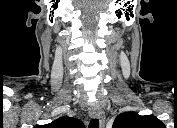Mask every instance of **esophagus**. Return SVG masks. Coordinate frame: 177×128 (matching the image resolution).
Returning <instances> with one entry per match:
<instances>
[{"label":"esophagus","instance_id":"esophagus-1","mask_svg":"<svg viewBox=\"0 0 177 128\" xmlns=\"http://www.w3.org/2000/svg\"><path fill=\"white\" fill-rule=\"evenodd\" d=\"M89 115L93 119H98L103 125L105 122V116L103 110L99 106H92L89 110Z\"/></svg>","mask_w":177,"mask_h":128}]
</instances>
